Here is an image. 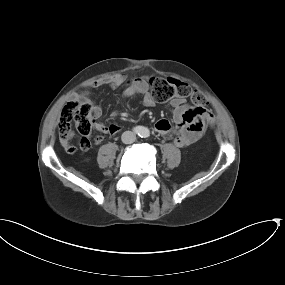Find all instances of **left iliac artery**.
I'll list each match as a JSON object with an SVG mask.
<instances>
[{
	"label": "left iliac artery",
	"instance_id": "44dca946",
	"mask_svg": "<svg viewBox=\"0 0 285 285\" xmlns=\"http://www.w3.org/2000/svg\"><path fill=\"white\" fill-rule=\"evenodd\" d=\"M144 137H148V132L146 130L144 131Z\"/></svg>",
	"mask_w": 285,
	"mask_h": 285
}]
</instances>
